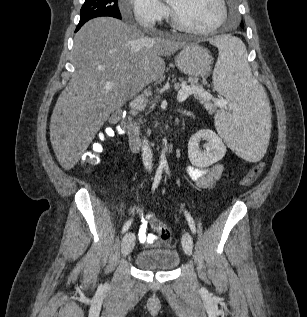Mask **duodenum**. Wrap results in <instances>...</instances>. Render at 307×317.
<instances>
[{"mask_svg":"<svg viewBox=\"0 0 307 317\" xmlns=\"http://www.w3.org/2000/svg\"><path fill=\"white\" fill-rule=\"evenodd\" d=\"M123 121H128L129 122V127L128 129V138L131 144V147L134 150H138L141 146V142H142V136L140 133V130L138 128V126L135 124V122L133 120H131L130 118H124Z\"/></svg>","mask_w":307,"mask_h":317,"instance_id":"obj_1","label":"duodenum"}]
</instances>
